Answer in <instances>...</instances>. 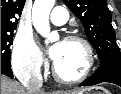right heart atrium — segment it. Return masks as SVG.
Here are the masks:
<instances>
[{"label": "right heart atrium", "mask_w": 121, "mask_h": 94, "mask_svg": "<svg viewBox=\"0 0 121 94\" xmlns=\"http://www.w3.org/2000/svg\"><path fill=\"white\" fill-rule=\"evenodd\" d=\"M44 57L32 35L21 34L14 40L11 64L15 75L22 79L37 78L44 67Z\"/></svg>", "instance_id": "right-heart-atrium-1"}]
</instances>
